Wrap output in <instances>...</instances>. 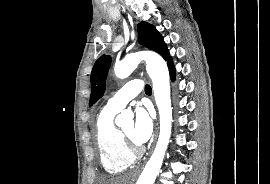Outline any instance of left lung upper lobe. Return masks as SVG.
<instances>
[{"label": "left lung upper lobe", "mask_w": 270, "mask_h": 184, "mask_svg": "<svg viewBox=\"0 0 270 184\" xmlns=\"http://www.w3.org/2000/svg\"><path fill=\"white\" fill-rule=\"evenodd\" d=\"M138 40L144 47L159 53L165 60L169 58V51L159 32L149 23L138 24ZM111 64V57L102 55L94 64L91 72V94L89 105L92 106L105 91V80Z\"/></svg>", "instance_id": "obj_1"}]
</instances>
